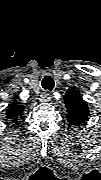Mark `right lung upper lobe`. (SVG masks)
I'll list each match as a JSON object with an SVG mask.
<instances>
[{
    "label": "right lung upper lobe",
    "mask_w": 101,
    "mask_h": 180,
    "mask_svg": "<svg viewBox=\"0 0 101 180\" xmlns=\"http://www.w3.org/2000/svg\"><path fill=\"white\" fill-rule=\"evenodd\" d=\"M24 109V106L18 105L17 103L11 104L6 112L7 118L11 119V121H14L16 122V124H18V120L22 117Z\"/></svg>",
    "instance_id": "right-lung-upper-lobe-1"
}]
</instances>
